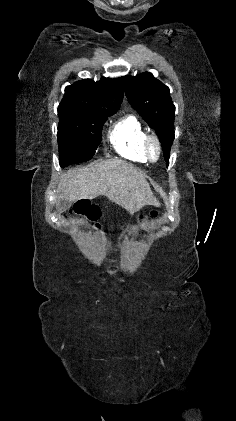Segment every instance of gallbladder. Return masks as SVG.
<instances>
[{
    "instance_id": "1",
    "label": "gallbladder",
    "mask_w": 236,
    "mask_h": 421,
    "mask_svg": "<svg viewBox=\"0 0 236 421\" xmlns=\"http://www.w3.org/2000/svg\"><path fill=\"white\" fill-rule=\"evenodd\" d=\"M72 200H67V198H59L56 202L57 211H67V208H70Z\"/></svg>"
}]
</instances>
